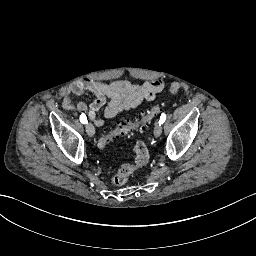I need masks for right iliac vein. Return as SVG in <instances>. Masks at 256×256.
<instances>
[{
  "label": "right iliac vein",
  "instance_id": "obj_1",
  "mask_svg": "<svg viewBox=\"0 0 256 256\" xmlns=\"http://www.w3.org/2000/svg\"><path fill=\"white\" fill-rule=\"evenodd\" d=\"M86 132H87L89 137H93L94 136L95 128H94V125L91 122L86 124Z\"/></svg>",
  "mask_w": 256,
  "mask_h": 256
}]
</instances>
